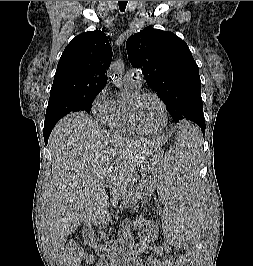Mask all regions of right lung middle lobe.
Instances as JSON below:
<instances>
[{
	"mask_svg": "<svg viewBox=\"0 0 253 266\" xmlns=\"http://www.w3.org/2000/svg\"><path fill=\"white\" fill-rule=\"evenodd\" d=\"M100 91L85 94H62L49 99L45 124L58 122L63 116L76 111L90 112L92 102Z\"/></svg>",
	"mask_w": 253,
	"mask_h": 266,
	"instance_id": "1",
	"label": "right lung middle lobe"
}]
</instances>
